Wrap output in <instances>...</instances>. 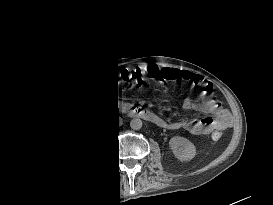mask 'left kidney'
Returning a JSON list of instances; mask_svg holds the SVG:
<instances>
[{"label":"left kidney","mask_w":273,"mask_h":205,"mask_svg":"<svg viewBox=\"0 0 273 205\" xmlns=\"http://www.w3.org/2000/svg\"><path fill=\"white\" fill-rule=\"evenodd\" d=\"M169 146L175 157L180 161H190L196 155L194 144L184 137H172L169 141Z\"/></svg>","instance_id":"left-kidney-1"}]
</instances>
